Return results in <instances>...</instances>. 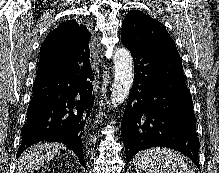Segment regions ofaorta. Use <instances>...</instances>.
Listing matches in <instances>:
<instances>
[{"label": "aorta", "instance_id": "1", "mask_svg": "<svg viewBox=\"0 0 219 173\" xmlns=\"http://www.w3.org/2000/svg\"><path fill=\"white\" fill-rule=\"evenodd\" d=\"M114 83L111 93V103L114 107L121 104L129 95L133 85V58L128 49L119 48L113 58ZM96 142V137L91 139Z\"/></svg>", "mask_w": 219, "mask_h": 173}]
</instances>
